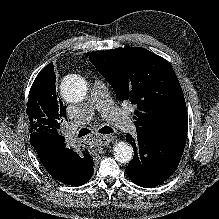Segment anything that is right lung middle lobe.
<instances>
[{"label":"right lung middle lobe","mask_w":219,"mask_h":219,"mask_svg":"<svg viewBox=\"0 0 219 219\" xmlns=\"http://www.w3.org/2000/svg\"><path fill=\"white\" fill-rule=\"evenodd\" d=\"M53 109H56L55 106H52ZM58 109V108H57ZM27 114L29 118L30 127L32 124H37L38 129H42L49 134L58 135L60 122L58 120V112H53L48 108H44L40 104H37L36 101L32 103H27Z\"/></svg>","instance_id":"right-lung-middle-lobe-1"}]
</instances>
